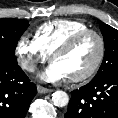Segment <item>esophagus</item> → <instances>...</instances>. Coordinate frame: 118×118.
Wrapping results in <instances>:
<instances>
[{
    "instance_id": "34e87169",
    "label": "esophagus",
    "mask_w": 118,
    "mask_h": 118,
    "mask_svg": "<svg viewBox=\"0 0 118 118\" xmlns=\"http://www.w3.org/2000/svg\"><path fill=\"white\" fill-rule=\"evenodd\" d=\"M37 90H38V93H40V94H46V93H50L53 91L52 89L45 88L41 85L37 86Z\"/></svg>"
}]
</instances>
